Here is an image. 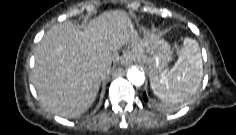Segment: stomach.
Returning a JSON list of instances; mask_svg holds the SVG:
<instances>
[{
    "label": "stomach",
    "mask_w": 236,
    "mask_h": 135,
    "mask_svg": "<svg viewBox=\"0 0 236 135\" xmlns=\"http://www.w3.org/2000/svg\"><path fill=\"white\" fill-rule=\"evenodd\" d=\"M135 57L149 68L150 78L162 71L172 57L170 45L151 34L143 40L140 50L134 51Z\"/></svg>",
    "instance_id": "0dacf381"
}]
</instances>
